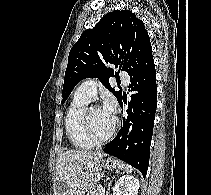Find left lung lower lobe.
<instances>
[{
	"label": "left lung lower lobe",
	"mask_w": 211,
	"mask_h": 195,
	"mask_svg": "<svg viewBox=\"0 0 211 195\" xmlns=\"http://www.w3.org/2000/svg\"><path fill=\"white\" fill-rule=\"evenodd\" d=\"M126 119L123 127L103 151L136 167L145 177L149 165L150 144L157 107L156 71L153 57L133 76ZM125 96L119 104L123 106Z\"/></svg>",
	"instance_id": "0a47b994"
}]
</instances>
